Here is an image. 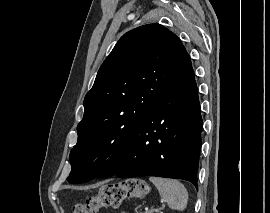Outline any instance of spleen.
I'll return each instance as SVG.
<instances>
[{"label": "spleen", "mask_w": 270, "mask_h": 213, "mask_svg": "<svg viewBox=\"0 0 270 213\" xmlns=\"http://www.w3.org/2000/svg\"><path fill=\"white\" fill-rule=\"evenodd\" d=\"M149 180L156 186L169 208L183 211L187 207L188 192L179 181L159 177H150Z\"/></svg>", "instance_id": "obj_1"}]
</instances>
